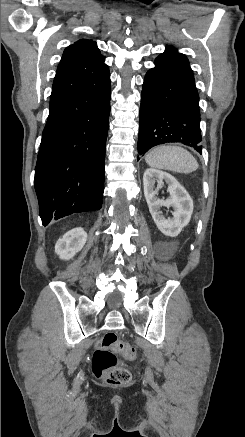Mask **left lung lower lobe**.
I'll list each match as a JSON object with an SVG mask.
<instances>
[{
    "instance_id": "obj_1",
    "label": "left lung lower lobe",
    "mask_w": 245,
    "mask_h": 437,
    "mask_svg": "<svg viewBox=\"0 0 245 437\" xmlns=\"http://www.w3.org/2000/svg\"><path fill=\"white\" fill-rule=\"evenodd\" d=\"M143 83L138 153L164 143H183L202 153L199 95L186 56L166 46Z\"/></svg>"
}]
</instances>
